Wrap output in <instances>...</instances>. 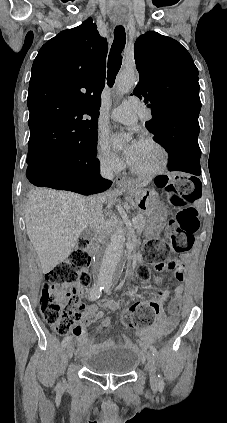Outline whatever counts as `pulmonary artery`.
Returning a JSON list of instances; mask_svg holds the SVG:
<instances>
[{"label":"pulmonary artery","instance_id":"obj_1","mask_svg":"<svg viewBox=\"0 0 227 423\" xmlns=\"http://www.w3.org/2000/svg\"><path fill=\"white\" fill-rule=\"evenodd\" d=\"M110 117L116 122L134 125L138 120H152L153 112L137 111V103L132 100H126L112 111Z\"/></svg>","mask_w":227,"mask_h":423}]
</instances>
